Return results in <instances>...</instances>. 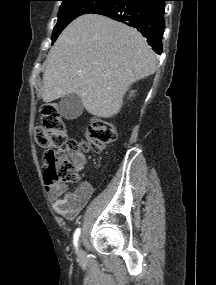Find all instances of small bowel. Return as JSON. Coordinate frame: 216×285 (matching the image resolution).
I'll return each mask as SVG.
<instances>
[{"mask_svg":"<svg viewBox=\"0 0 216 285\" xmlns=\"http://www.w3.org/2000/svg\"><path fill=\"white\" fill-rule=\"evenodd\" d=\"M85 162V157L77 153L76 167L80 170L83 169ZM47 191L53 199L55 211L67 219H74L87 204L93 193V188L84 184L75 191L68 192L64 184L54 183L47 185Z\"/></svg>","mask_w":216,"mask_h":285,"instance_id":"obj_1","label":"small bowel"}]
</instances>
